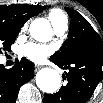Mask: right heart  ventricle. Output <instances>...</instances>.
<instances>
[{
    "label": "right heart ventricle",
    "instance_id": "right-heart-ventricle-1",
    "mask_svg": "<svg viewBox=\"0 0 103 103\" xmlns=\"http://www.w3.org/2000/svg\"><path fill=\"white\" fill-rule=\"evenodd\" d=\"M48 17L53 27H56L63 22H67L66 16L59 9H52L49 12Z\"/></svg>",
    "mask_w": 103,
    "mask_h": 103
}]
</instances>
